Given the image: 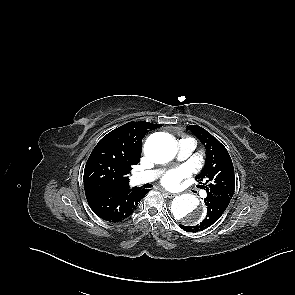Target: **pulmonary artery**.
<instances>
[{
    "label": "pulmonary artery",
    "mask_w": 295,
    "mask_h": 295,
    "mask_svg": "<svg viewBox=\"0 0 295 295\" xmlns=\"http://www.w3.org/2000/svg\"><path fill=\"white\" fill-rule=\"evenodd\" d=\"M195 141L191 138H185L179 142L178 158L184 160L188 158L195 149ZM160 174L159 170L140 172L134 175L133 179L136 184H144L154 181ZM202 197L206 196V192L201 193Z\"/></svg>",
    "instance_id": "e3ab8cb5"
}]
</instances>
